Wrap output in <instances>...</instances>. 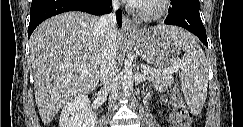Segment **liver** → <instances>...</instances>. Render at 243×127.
Instances as JSON below:
<instances>
[{"instance_id": "6515ba94", "label": "liver", "mask_w": 243, "mask_h": 127, "mask_svg": "<svg viewBox=\"0 0 243 127\" xmlns=\"http://www.w3.org/2000/svg\"><path fill=\"white\" fill-rule=\"evenodd\" d=\"M99 19L83 12H66L44 21L33 32L29 45L35 99L45 125L72 98L97 87L104 36ZM114 41L118 50L123 42L118 30Z\"/></svg>"}]
</instances>
